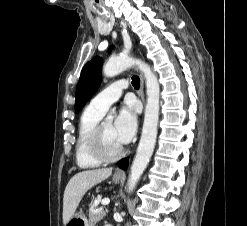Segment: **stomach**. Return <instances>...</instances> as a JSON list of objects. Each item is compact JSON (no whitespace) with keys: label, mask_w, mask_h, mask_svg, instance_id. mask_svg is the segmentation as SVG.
<instances>
[{"label":"stomach","mask_w":247,"mask_h":226,"mask_svg":"<svg viewBox=\"0 0 247 226\" xmlns=\"http://www.w3.org/2000/svg\"><path fill=\"white\" fill-rule=\"evenodd\" d=\"M112 180L117 184L121 181V178L114 176ZM65 226H91V223L88 221L85 214L80 211L74 214Z\"/></svg>","instance_id":"1"}]
</instances>
